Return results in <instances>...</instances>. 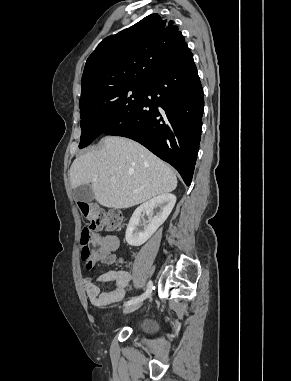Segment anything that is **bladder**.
<instances>
[{
  "label": "bladder",
  "mask_w": 291,
  "mask_h": 381,
  "mask_svg": "<svg viewBox=\"0 0 291 381\" xmlns=\"http://www.w3.org/2000/svg\"><path fill=\"white\" fill-rule=\"evenodd\" d=\"M135 321L134 329L138 333L151 334L158 330V326L151 316H141Z\"/></svg>",
  "instance_id": "31cf9c89"
}]
</instances>
